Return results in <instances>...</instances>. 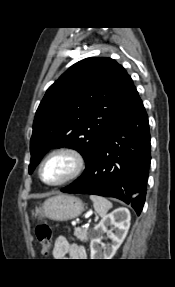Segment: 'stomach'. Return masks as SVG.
<instances>
[{
    "mask_svg": "<svg viewBox=\"0 0 175 287\" xmlns=\"http://www.w3.org/2000/svg\"><path fill=\"white\" fill-rule=\"evenodd\" d=\"M83 210L84 205L79 198L60 194L48 198L43 205L36 210V215L54 221H67L78 217Z\"/></svg>",
    "mask_w": 175,
    "mask_h": 287,
    "instance_id": "0dacf381",
    "label": "stomach"
}]
</instances>
